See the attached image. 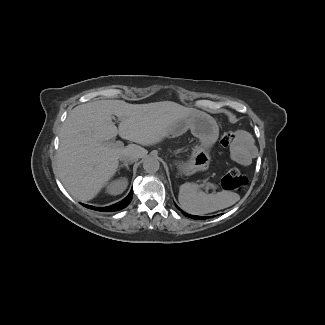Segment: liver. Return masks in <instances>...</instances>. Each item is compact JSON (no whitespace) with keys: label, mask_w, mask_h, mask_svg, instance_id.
Here are the masks:
<instances>
[{"label":"liver","mask_w":325,"mask_h":325,"mask_svg":"<svg viewBox=\"0 0 325 325\" xmlns=\"http://www.w3.org/2000/svg\"><path fill=\"white\" fill-rule=\"evenodd\" d=\"M194 112L198 111L171 101L129 104L122 100H97L78 105L60 130L54 173L74 199L89 201L115 174L124 152L146 154L137 145L125 148L106 141L119 134L122 139L152 145L177 120ZM112 115L120 121L118 128Z\"/></svg>","instance_id":"6515ba94"}]
</instances>
